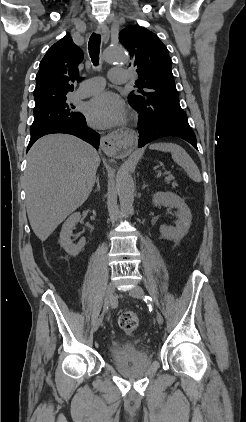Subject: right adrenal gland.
Returning <instances> with one entry per match:
<instances>
[{"label": "right adrenal gland", "instance_id": "right-adrenal-gland-1", "mask_svg": "<svg viewBox=\"0 0 246 422\" xmlns=\"http://www.w3.org/2000/svg\"><path fill=\"white\" fill-rule=\"evenodd\" d=\"M96 184H97V188H96V192L100 191V181H99V177H97L96 179Z\"/></svg>", "mask_w": 246, "mask_h": 422}]
</instances>
